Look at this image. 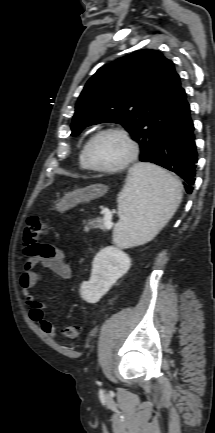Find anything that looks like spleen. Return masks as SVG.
<instances>
[{
	"mask_svg": "<svg viewBox=\"0 0 215 433\" xmlns=\"http://www.w3.org/2000/svg\"><path fill=\"white\" fill-rule=\"evenodd\" d=\"M181 199V185L171 174L150 163L134 165L118 194L113 242L125 248L149 242L172 218Z\"/></svg>",
	"mask_w": 215,
	"mask_h": 433,
	"instance_id": "3e777b00",
	"label": "spleen"
}]
</instances>
